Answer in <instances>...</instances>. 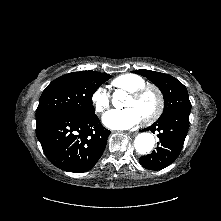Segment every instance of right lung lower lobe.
Segmentation results:
<instances>
[{
  "instance_id": "right-lung-lower-lobe-1",
  "label": "right lung lower lobe",
  "mask_w": 221,
  "mask_h": 221,
  "mask_svg": "<svg viewBox=\"0 0 221 221\" xmlns=\"http://www.w3.org/2000/svg\"><path fill=\"white\" fill-rule=\"evenodd\" d=\"M110 131L96 115H59L36 126V135L48 160L69 172L90 170L100 159Z\"/></svg>"
}]
</instances>
